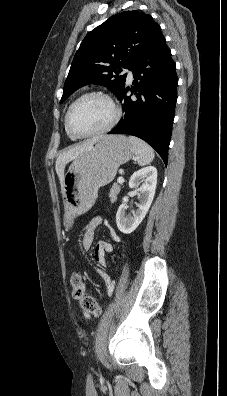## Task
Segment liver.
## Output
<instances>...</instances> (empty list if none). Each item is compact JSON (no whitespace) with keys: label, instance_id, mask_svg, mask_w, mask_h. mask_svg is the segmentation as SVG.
I'll use <instances>...</instances> for the list:
<instances>
[{"label":"liver","instance_id":"liver-1","mask_svg":"<svg viewBox=\"0 0 227 396\" xmlns=\"http://www.w3.org/2000/svg\"><path fill=\"white\" fill-rule=\"evenodd\" d=\"M99 138H93L91 140H87L82 144L76 145L73 148L63 152L60 154L56 160V173L59 177L61 184V191H63L64 184V170L67 163L76 159L83 151L89 148L93 143H95Z\"/></svg>","mask_w":227,"mask_h":396}]
</instances>
